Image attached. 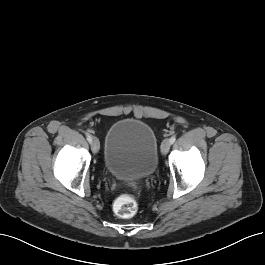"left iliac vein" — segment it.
Masks as SVG:
<instances>
[{"label":"left iliac vein","instance_id":"1","mask_svg":"<svg viewBox=\"0 0 265 265\" xmlns=\"http://www.w3.org/2000/svg\"><path fill=\"white\" fill-rule=\"evenodd\" d=\"M171 143L169 139H165L161 144V153L166 155L170 149Z\"/></svg>","mask_w":265,"mask_h":265}]
</instances>
